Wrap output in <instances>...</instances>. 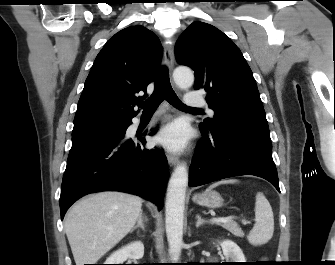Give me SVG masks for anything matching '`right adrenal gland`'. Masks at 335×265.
Wrapping results in <instances>:
<instances>
[{"label": "right adrenal gland", "mask_w": 335, "mask_h": 265, "mask_svg": "<svg viewBox=\"0 0 335 265\" xmlns=\"http://www.w3.org/2000/svg\"><path fill=\"white\" fill-rule=\"evenodd\" d=\"M144 221H147V218L146 217L144 218V216L141 212L139 217H138V220H137V225L132 228L131 232H133L137 228H141L143 231H145Z\"/></svg>", "instance_id": "2a0ac1e0"}]
</instances>
